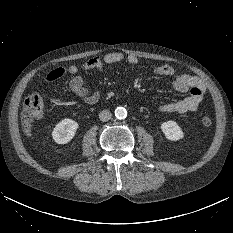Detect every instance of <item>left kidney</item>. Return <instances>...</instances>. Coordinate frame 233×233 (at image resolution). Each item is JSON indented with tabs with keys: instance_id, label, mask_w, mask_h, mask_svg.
I'll use <instances>...</instances> for the list:
<instances>
[{
	"instance_id": "1",
	"label": "left kidney",
	"mask_w": 233,
	"mask_h": 233,
	"mask_svg": "<svg viewBox=\"0 0 233 233\" xmlns=\"http://www.w3.org/2000/svg\"><path fill=\"white\" fill-rule=\"evenodd\" d=\"M161 130L170 141H178L184 137L181 127L174 121H167L161 124Z\"/></svg>"
}]
</instances>
